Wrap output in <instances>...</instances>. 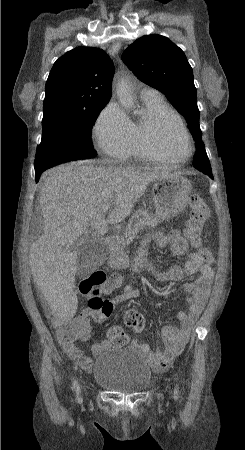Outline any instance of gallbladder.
Masks as SVG:
<instances>
[{"label":"gallbladder","mask_w":245,"mask_h":450,"mask_svg":"<svg viewBox=\"0 0 245 450\" xmlns=\"http://www.w3.org/2000/svg\"><path fill=\"white\" fill-rule=\"evenodd\" d=\"M77 255V273L100 265L105 259V245L90 233L79 237L72 245Z\"/></svg>","instance_id":"1"}]
</instances>
